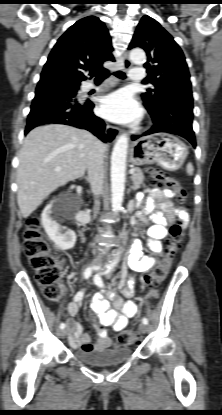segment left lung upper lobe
<instances>
[{"mask_svg": "<svg viewBox=\"0 0 222 415\" xmlns=\"http://www.w3.org/2000/svg\"><path fill=\"white\" fill-rule=\"evenodd\" d=\"M140 47L147 54L148 79L152 88L142 94L146 108H158L162 93L178 84H188L190 74L184 54L174 38L153 18L145 15L139 22L129 49ZM181 102L175 98L162 114H175L180 109Z\"/></svg>", "mask_w": 222, "mask_h": 415, "instance_id": "5c2ea615", "label": "left lung upper lobe"}]
</instances>
